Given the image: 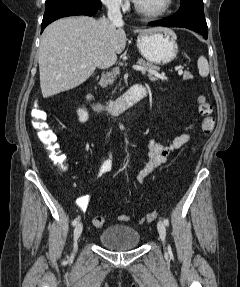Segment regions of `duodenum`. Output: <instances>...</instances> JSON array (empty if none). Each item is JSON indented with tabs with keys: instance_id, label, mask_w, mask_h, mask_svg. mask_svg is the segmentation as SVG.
Segmentation results:
<instances>
[{
	"instance_id": "duodenum-1",
	"label": "duodenum",
	"mask_w": 240,
	"mask_h": 287,
	"mask_svg": "<svg viewBox=\"0 0 240 287\" xmlns=\"http://www.w3.org/2000/svg\"><path fill=\"white\" fill-rule=\"evenodd\" d=\"M147 95L142 84H134L120 97L105 102L94 101L92 95H87V101L96 109H104L110 113L118 114L133 104L139 102Z\"/></svg>"
}]
</instances>
